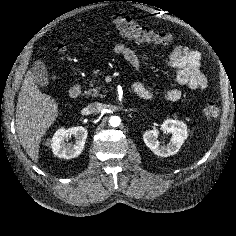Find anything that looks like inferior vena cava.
Here are the masks:
<instances>
[{
	"mask_svg": "<svg viewBox=\"0 0 236 236\" xmlns=\"http://www.w3.org/2000/svg\"><path fill=\"white\" fill-rule=\"evenodd\" d=\"M103 109V104L99 102H93L90 103L87 107L86 110L89 114H96L101 112Z\"/></svg>",
	"mask_w": 236,
	"mask_h": 236,
	"instance_id": "inferior-vena-cava-1",
	"label": "inferior vena cava"
}]
</instances>
